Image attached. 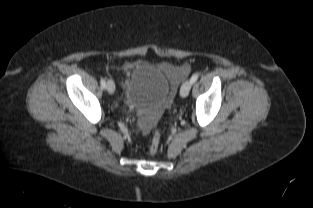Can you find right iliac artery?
<instances>
[{"instance_id": "right-iliac-artery-1", "label": "right iliac artery", "mask_w": 313, "mask_h": 208, "mask_svg": "<svg viewBox=\"0 0 313 208\" xmlns=\"http://www.w3.org/2000/svg\"><path fill=\"white\" fill-rule=\"evenodd\" d=\"M100 84H101V87H102L103 89L106 88V82H105V79H104V78H101Z\"/></svg>"}]
</instances>
